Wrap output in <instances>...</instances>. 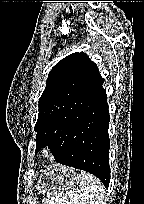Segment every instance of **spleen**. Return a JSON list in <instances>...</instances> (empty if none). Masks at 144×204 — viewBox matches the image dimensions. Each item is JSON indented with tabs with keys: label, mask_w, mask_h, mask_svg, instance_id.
Masks as SVG:
<instances>
[{
	"label": "spleen",
	"mask_w": 144,
	"mask_h": 204,
	"mask_svg": "<svg viewBox=\"0 0 144 204\" xmlns=\"http://www.w3.org/2000/svg\"><path fill=\"white\" fill-rule=\"evenodd\" d=\"M104 187L98 178L85 172L78 175V188L48 197L44 204H104Z\"/></svg>",
	"instance_id": "1"
}]
</instances>
